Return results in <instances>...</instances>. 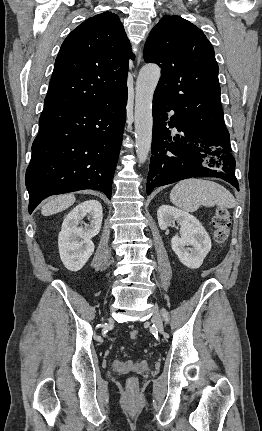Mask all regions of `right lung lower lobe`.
Instances as JSON below:
<instances>
[{
  "label": "right lung lower lobe",
  "instance_id": "98d812e1",
  "mask_svg": "<svg viewBox=\"0 0 262 431\" xmlns=\"http://www.w3.org/2000/svg\"><path fill=\"white\" fill-rule=\"evenodd\" d=\"M126 102L127 90L99 105L43 109L25 177L30 214L55 194L94 189L111 199Z\"/></svg>",
  "mask_w": 262,
  "mask_h": 431
}]
</instances>
